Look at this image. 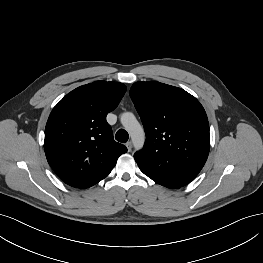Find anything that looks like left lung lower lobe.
Returning <instances> with one entry per match:
<instances>
[{
  "mask_svg": "<svg viewBox=\"0 0 263 263\" xmlns=\"http://www.w3.org/2000/svg\"><path fill=\"white\" fill-rule=\"evenodd\" d=\"M140 170L156 183L167 188H179L190 183L198 171L172 161L151 163L134 157Z\"/></svg>",
  "mask_w": 263,
  "mask_h": 263,
  "instance_id": "left-lung-lower-lobe-1",
  "label": "left lung lower lobe"
}]
</instances>
